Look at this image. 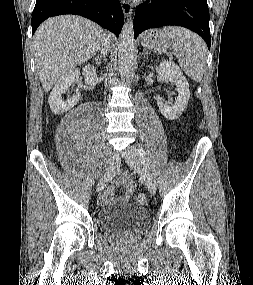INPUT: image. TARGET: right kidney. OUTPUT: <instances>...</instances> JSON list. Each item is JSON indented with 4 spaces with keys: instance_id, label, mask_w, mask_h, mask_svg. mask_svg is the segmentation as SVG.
<instances>
[{
    "instance_id": "ca27d5eb",
    "label": "right kidney",
    "mask_w": 253,
    "mask_h": 285,
    "mask_svg": "<svg viewBox=\"0 0 253 285\" xmlns=\"http://www.w3.org/2000/svg\"><path fill=\"white\" fill-rule=\"evenodd\" d=\"M83 75L85 77V83L91 84L95 78V68L91 65H86L83 68ZM80 77V70L73 69L68 71L65 75L60 77L56 82L53 90L51 91L48 99L50 109L54 114H62L73 108L80 99V94L76 93L66 101L62 100V94L68 90V87L78 81Z\"/></svg>"
}]
</instances>
